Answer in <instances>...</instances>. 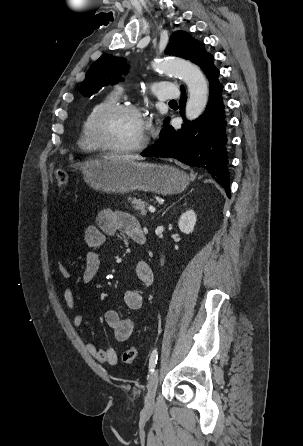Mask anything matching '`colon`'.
<instances>
[{"instance_id":"5ec220e1","label":"colon","mask_w":303,"mask_h":446,"mask_svg":"<svg viewBox=\"0 0 303 446\" xmlns=\"http://www.w3.org/2000/svg\"><path fill=\"white\" fill-rule=\"evenodd\" d=\"M55 179L58 184V186L61 189H65L69 184V176L68 174L63 170H56L55 171ZM138 355V350L135 346L128 347L122 354V360L125 364H131L134 362Z\"/></svg>"}]
</instances>
